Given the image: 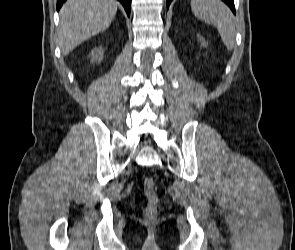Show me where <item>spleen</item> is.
<instances>
[{
	"label": "spleen",
	"mask_w": 295,
	"mask_h": 250,
	"mask_svg": "<svg viewBox=\"0 0 295 250\" xmlns=\"http://www.w3.org/2000/svg\"><path fill=\"white\" fill-rule=\"evenodd\" d=\"M195 16L217 27L224 45L232 50L235 45V25L230 9L221 0H191Z\"/></svg>",
	"instance_id": "3e777b00"
}]
</instances>
